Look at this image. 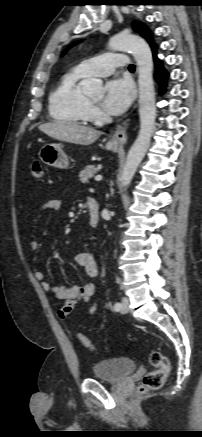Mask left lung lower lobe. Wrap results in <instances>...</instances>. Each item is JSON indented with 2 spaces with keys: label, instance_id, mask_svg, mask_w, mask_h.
Segmentation results:
<instances>
[{
  "label": "left lung lower lobe",
  "instance_id": "0a47b994",
  "mask_svg": "<svg viewBox=\"0 0 202 437\" xmlns=\"http://www.w3.org/2000/svg\"><path fill=\"white\" fill-rule=\"evenodd\" d=\"M156 50H157V46H155V47L152 48L153 56H154V62H155V64H156V69H157L155 76H156L157 82H158V84H159L160 91L162 92L163 89L165 88L166 80H167L168 74H167V72L163 69V66H162V64H161V61L157 58V56H156Z\"/></svg>",
  "mask_w": 202,
  "mask_h": 437
}]
</instances>
